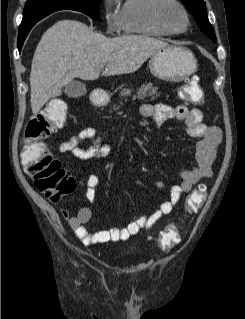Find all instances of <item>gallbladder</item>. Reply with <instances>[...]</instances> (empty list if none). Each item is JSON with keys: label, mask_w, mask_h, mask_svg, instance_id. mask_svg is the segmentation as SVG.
Instances as JSON below:
<instances>
[{"label": "gallbladder", "mask_w": 245, "mask_h": 319, "mask_svg": "<svg viewBox=\"0 0 245 319\" xmlns=\"http://www.w3.org/2000/svg\"><path fill=\"white\" fill-rule=\"evenodd\" d=\"M64 93L72 98L82 97L86 94V87L80 81H71L64 87Z\"/></svg>", "instance_id": "obj_1"}]
</instances>
